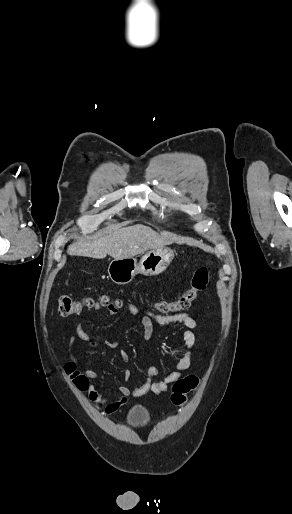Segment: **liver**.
I'll return each mask as SVG.
<instances>
[{"mask_svg": "<svg viewBox=\"0 0 292 514\" xmlns=\"http://www.w3.org/2000/svg\"><path fill=\"white\" fill-rule=\"evenodd\" d=\"M170 244L169 238H163L148 226H129L112 232L105 238L93 236L91 240L74 242L68 248L69 256H87V258H106L112 256L115 260L132 258L138 254H144L147 250L163 248Z\"/></svg>", "mask_w": 292, "mask_h": 514, "instance_id": "obj_1", "label": "liver"}]
</instances>
